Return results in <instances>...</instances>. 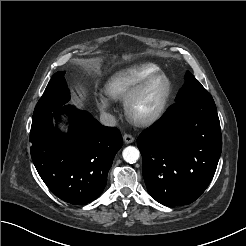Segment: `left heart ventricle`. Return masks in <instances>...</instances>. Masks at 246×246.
Returning <instances> with one entry per match:
<instances>
[{
  "instance_id": "b2bd125f",
  "label": "left heart ventricle",
  "mask_w": 246,
  "mask_h": 246,
  "mask_svg": "<svg viewBox=\"0 0 246 246\" xmlns=\"http://www.w3.org/2000/svg\"><path fill=\"white\" fill-rule=\"evenodd\" d=\"M167 84L164 79L154 81L139 99L136 110L140 114H147L156 109L166 92Z\"/></svg>"
}]
</instances>
